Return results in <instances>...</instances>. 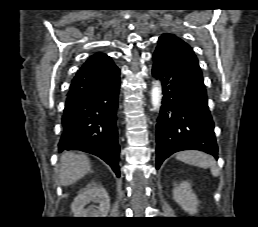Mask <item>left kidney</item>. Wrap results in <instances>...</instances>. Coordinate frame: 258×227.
I'll return each instance as SVG.
<instances>
[{
	"label": "left kidney",
	"instance_id": "left-kidney-1",
	"mask_svg": "<svg viewBox=\"0 0 258 227\" xmlns=\"http://www.w3.org/2000/svg\"><path fill=\"white\" fill-rule=\"evenodd\" d=\"M174 200L181 206V208L189 214H196L199 201L197 196L191 190V185L187 181L175 185L173 190Z\"/></svg>",
	"mask_w": 258,
	"mask_h": 227
}]
</instances>
